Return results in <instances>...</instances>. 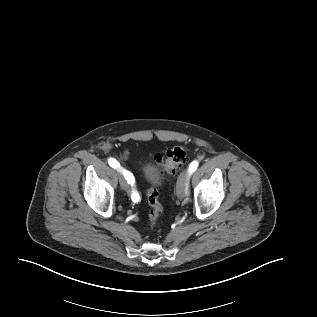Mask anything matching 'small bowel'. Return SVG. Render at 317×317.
<instances>
[{
	"mask_svg": "<svg viewBox=\"0 0 317 317\" xmlns=\"http://www.w3.org/2000/svg\"><path fill=\"white\" fill-rule=\"evenodd\" d=\"M128 156V152L127 151H125L123 154H122V157L123 158H126ZM135 191V190H134ZM135 193H137L136 191H135ZM138 194V193H137Z\"/></svg>",
	"mask_w": 317,
	"mask_h": 317,
	"instance_id": "c3829d8e",
	"label": "small bowel"
}]
</instances>
